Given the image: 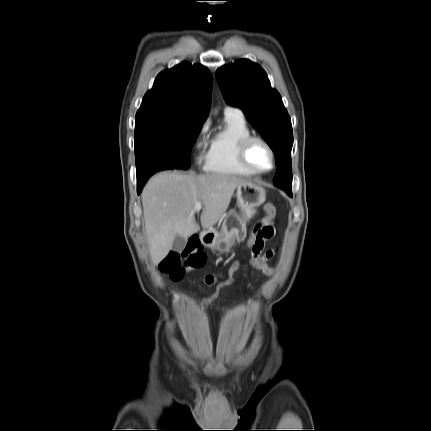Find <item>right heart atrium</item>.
<instances>
[{
  "mask_svg": "<svg viewBox=\"0 0 431 431\" xmlns=\"http://www.w3.org/2000/svg\"><path fill=\"white\" fill-rule=\"evenodd\" d=\"M207 130H208L207 124L203 123L198 128L192 140V150L194 152V160L196 164H201L206 159L204 149L207 145V141H206Z\"/></svg>",
  "mask_w": 431,
  "mask_h": 431,
  "instance_id": "1",
  "label": "right heart atrium"
}]
</instances>
